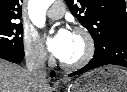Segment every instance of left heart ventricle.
Returning <instances> with one entry per match:
<instances>
[{
    "label": "left heart ventricle",
    "mask_w": 127,
    "mask_h": 92,
    "mask_svg": "<svg viewBox=\"0 0 127 92\" xmlns=\"http://www.w3.org/2000/svg\"><path fill=\"white\" fill-rule=\"evenodd\" d=\"M85 48L86 45L84 39L79 35L73 34L69 50L62 60L64 62L77 61L84 54Z\"/></svg>",
    "instance_id": "b2bd125f"
}]
</instances>
